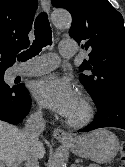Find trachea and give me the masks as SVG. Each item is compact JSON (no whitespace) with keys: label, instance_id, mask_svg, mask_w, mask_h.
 <instances>
[{"label":"trachea","instance_id":"trachea-1","mask_svg":"<svg viewBox=\"0 0 125 167\" xmlns=\"http://www.w3.org/2000/svg\"><path fill=\"white\" fill-rule=\"evenodd\" d=\"M35 40L27 51L17 55L19 61H27L39 54L43 47L52 44V30L45 12L38 15L35 21Z\"/></svg>","mask_w":125,"mask_h":167}]
</instances>
